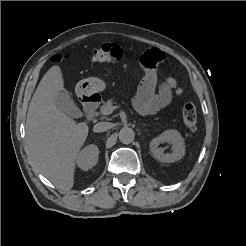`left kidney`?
Segmentation results:
<instances>
[{
  "label": "left kidney",
  "instance_id": "left-kidney-1",
  "mask_svg": "<svg viewBox=\"0 0 246 246\" xmlns=\"http://www.w3.org/2000/svg\"><path fill=\"white\" fill-rule=\"evenodd\" d=\"M168 143L172 147L171 153H164L160 144ZM150 151L154 158L161 162L172 163L183 158L185 155V144L182 136L177 130H166L150 142Z\"/></svg>",
  "mask_w": 246,
  "mask_h": 246
}]
</instances>
